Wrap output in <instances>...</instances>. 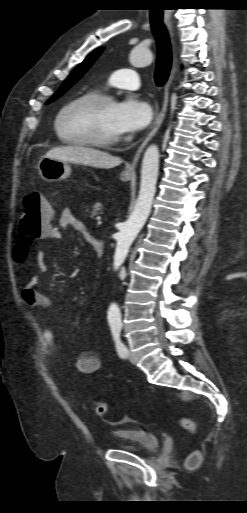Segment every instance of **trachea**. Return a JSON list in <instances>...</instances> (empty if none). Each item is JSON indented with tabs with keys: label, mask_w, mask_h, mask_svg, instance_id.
Instances as JSON below:
<instances>
[{
	"label": "trachea",
	"mask_w": 247,
	"mask_h": 513,
	"mask_svg": "<svg viewBox=\"0 0 247 513\" xmlns=\"http://www.w3.org/2000/svg\"><path fill=\"white\" fill-rule=\"evenodd\" d=\"M150 22L157 44L155 82L157 86H162L167 81L171 69V44L168 32L163 21L151 17Z\"/></svg>",
	"instance_id": "3493384b"
}]
</instances>
